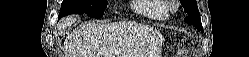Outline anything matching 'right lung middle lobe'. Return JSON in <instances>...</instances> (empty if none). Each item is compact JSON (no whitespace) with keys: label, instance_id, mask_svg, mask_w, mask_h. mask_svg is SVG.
<instances>
[{"label":"right lung middle lobe","instance_id":"dd1d6c3e","mask_svg":"<svg viewBox=\"0 0 249 57\" xmlns=\"http://www.w3.org/2000/svg\"><path fill=\"white\" fill-rule=\"evenodd\" d=\"M107 7V0H64L60 9V17L69 14H83L93 18H101Z\"/></svg>","mask_w":249,"mask_h":57}]
</instances>
